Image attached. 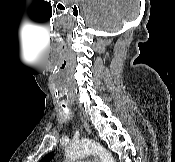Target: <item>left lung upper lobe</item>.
Listing matches in <instances>:
<instances>
[{
	"label": "left lung upper lobe",
	"mask_w": 175,
	"mask_h": 162,
	"mask_svg": "<svg viewBox=\"0 0 175 162\" xmlns=\"http://www.w3.org/2000/svg\"><path fill=\"white\" fill-rule=\"evenodd\" d=\"M53 155H54L53 152L47 154L44 158H42V160L40 162H50V160L53 157Z\"/></svg>",
	"instance_id": "5c2ea615"
}]
</instances>
